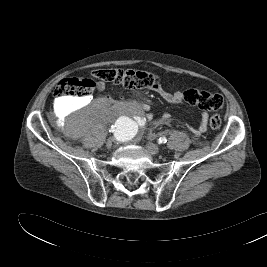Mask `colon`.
I'll use <instances>...</instances> for the list:
<instances>
[{
    "mask_svg": "<svg viewBox=\"0 0 267 267\" xmlns=\"http://www.w3.org/2000/svg\"><path fill=\"white\" fill-rule=\"evenodd\" d=\"M92 77L101 82L111 83L126 89H153L159 85L158 77L148 71L135 69L107 68L95 69ZM92 78H65L57 83L53 95L57 98L77 97L83 98L91 94L96 86ZM184 101L201 110H220L224 105L223 97L216 93L199 89H189L183 93ZM212 129H220L221 118L214 115L210 118Z\"/></svg>",
    "mask_w": 267,
    "mask_h": 267,
    "instance_id": "1",
    "label": "colon"
}]
</instances>
